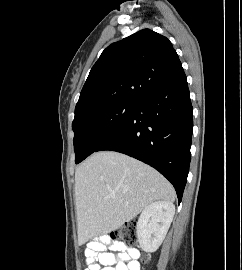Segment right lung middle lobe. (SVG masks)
Segmentation results:
<instances>
[{
  "label": "right lung middle lobe",
  "mask_w": 242,
  "mask_h": 270,
  "mask_svg": "<svg viewBox=\"0 0 242 270\" xmlns=\"http://www.w3.org/2000/svg\"><path fill=\"white\" fill-rule=\"evenodd\" d=\"M136 101L118 100L89 109L75 116L74 131L75 163H79L109 137L125 122Z\"/></svg>",
  "instance_id": "1"
}]
</instances>
